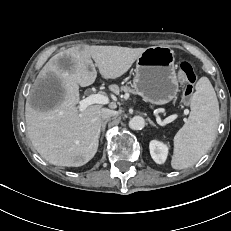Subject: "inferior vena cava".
I'll list each match as a JSON object with an SVG mask.
<instances>
[{
	"instance_id": "obj_1",
	"label": "inferior vena cava",
	"mask_w": 231,
	"mask_h": 231,
	"mask_svg": "<svg viewBox=\"0 0 231 231\" xmlns=\"http://www.w3.org/2000/svg\"><path fill=\"white\" fill-rule=\"evenodd\" d=\"M116 114H117V112L114 110L103 108L102 112H101V119L102 120H109L112 116H115Z\"/></svg>"
}]
</instances>
